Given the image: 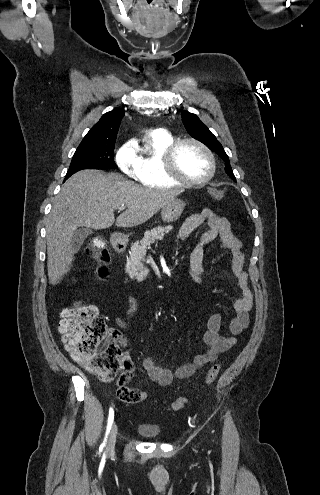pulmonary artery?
I'll return each mask as SVG.
<instances>
[{"label":"pulmonary artery","mask_w":320,"mask_h":495,"mask_svg":"<svg viewBox=\"0 0 320 495\" xmlns=\"http://www.w3.org/2000/svg\"><path fill=\"white\" fill-rule=\"evenodd\" d=\"M151 133H154V134H165L166 131L164 129H155V130H152Z\"/></svg>","instance_id":"obj_1"}]
</instances>
